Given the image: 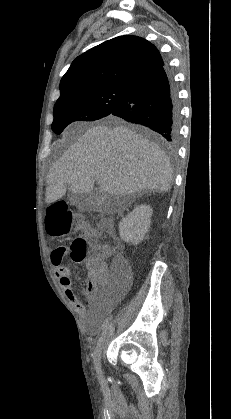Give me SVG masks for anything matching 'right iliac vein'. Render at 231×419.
Instances as JSON below:
<instances>
[{
  "label": "right iliac vein",
  "instance_id": "1",
  "mask_svg": "<svg viewBox=\"0 0 231 419\" xmlns=\"http://www.w3.org/2000/svg\"><path fill=\"white\" fill-rule=\"evenodd\" d=\"M106 341V334L100 338L93 353L94 365L96 368L101 367V354Z\"/></svg>",
  "mask_w": 231,
  "mask_h": 419
}]
</instances>
